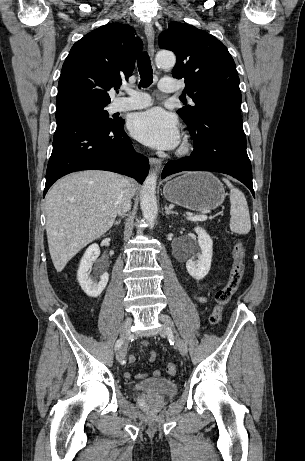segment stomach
<instances>
[{
  "instance_id": "obj_1",
  "label": "stomach",
  "mask_w": 305,
  "mask_h": 461,
  "mask_svg": "<svg viewBox=\"0 0 305 461\" xmlns=\"http://www.w3.org/2000/svg\"><path fill=\"white\" fill-rule=\"evenodd\" d=\"M165 198L193 211H210L219 207L226 196L223 184L209 172H186L168 181Z\"/></svg>"
}]
</instances>
